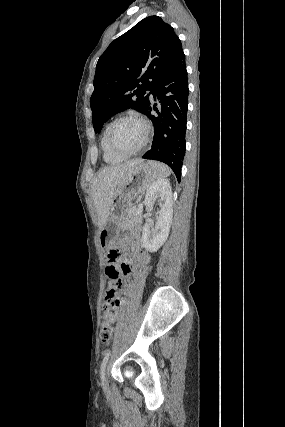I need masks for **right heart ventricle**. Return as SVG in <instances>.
Returning a JSON list of instances; mask_svg holds the SVG:
<instances>
[{"mask_svg":"<svg viewBox=\"0 0 285 427\" xmlns=\"http://www.w3.org/2000/svg\"><path fill=\"white\" fill-rule=\"evenodd\" d=\"M109 126H110V123H108L105 126V128L101 134L100 146H101L104 161L106 163H109V164H117V163H120V162H123L124 160H126L127 157L123 156V155H119L117 153H114L109 148L108 143H107V130H108Z\"/></svg>","mask_w":285,"mask_h":427,"instance_id":"obj_1","label":"right heart ventricle"}]
</instances>
